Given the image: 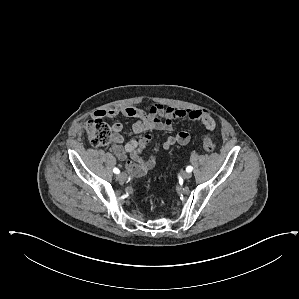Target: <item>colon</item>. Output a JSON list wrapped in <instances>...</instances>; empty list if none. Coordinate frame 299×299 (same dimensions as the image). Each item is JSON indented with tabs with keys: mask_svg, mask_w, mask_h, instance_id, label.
I'll use <instances>...</instances> for the list:
<instances>
[{
	"mask_svg": "<svg viewBox=\"0 0 299 299\" xmlns=\"http://www.w3.org/2000/svg\"><path fill=\"white\" fill-rule=\"evenodd\" d=\"M89 142L95 147H106L113 142L111 126L101 118L89 120L85 125ZM203 147L208 152L215 150V144L210 135L203 137Z\"/></svg>",
	"mask_w": 299,
	"mask_h": 299,
	"instance_id": "colon-1",
	"label": "colon"
}]
</instances>
